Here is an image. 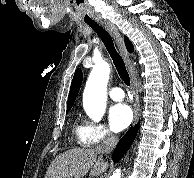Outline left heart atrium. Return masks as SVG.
<instances>
[{"instance_id":"obj_1","label":"left heart atrium","mask_w":194,"mask_h":178,"mask_svg":"<svg viewBox=\"0 0 194 178\" xmlns=\"http://www.w3.org/2000/svg\"><path fill=\"white\" fill-rule=\"evenodd\" d=\"M108 118L114 131H122L130 125L133 113L128 105L119 103L110 108Z\"/></svg>"}]
</instances>
